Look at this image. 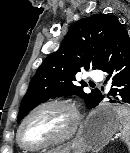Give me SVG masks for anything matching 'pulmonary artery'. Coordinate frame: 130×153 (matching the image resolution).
<instances>
[{
  "instance_id": "pulmonary-artery-1",
  "label": "pulmonary artery",
  "mask_w": 130,
  "mask_h": 153,
  "mask_svg": "<svg viewBox=\"0 0 130 153\" xmlns=\"http://www.w3.org/2000/svg\"><path fill=\"white\" fill-rule=\"evenodd\" d=\"M90 78L92 81L99 82L102 81L103 75L100 71L94 70L90 73Z\"/></svg>"
}]
</instances>
